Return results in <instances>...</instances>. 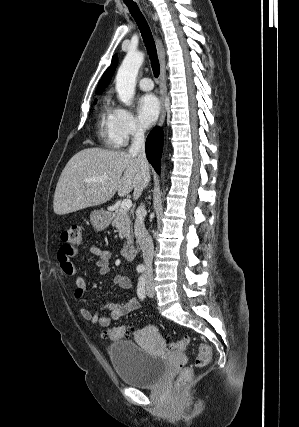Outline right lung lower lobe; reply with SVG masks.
<instances>
[{"label":"right lung lower lobe","instance_id":"right-lung-lower-lobe-1","mask_svg":"<svg viewBox=\"0 0 299 427\" xmlns=\"http://www.w3.org/2000/svg\"><path fill=\"white\" fill-rule=\"evenodd\" d=\"M163 148V132L160 128H154L146 140V156L156 172L160 173V159Z\"/></svg>","mask_w":299,"mask_h":427}]
</instances>
